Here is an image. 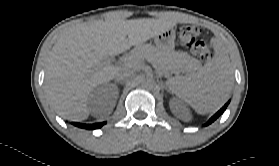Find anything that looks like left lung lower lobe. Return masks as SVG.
Returning <instances> with one entry per match:
<instances>
[{
  "mask_svg": "<svg viewBox=\"0 0 279 166\" xmlns=\"http://www.w3.org/2000/svg\"><path fill=\"white\" fill-rule=\"evenodd\" d=\"M228 106V103L224 105V107H222L212 118H210V120L205 124V126L211 124L213 121H215L226 109V107Z\"/></svg>",
  "mask_w": 279,
  "mask_h": 166,
  "instance_id": "1",
  "label": "left lung lower lobe"
}]
</instances>
